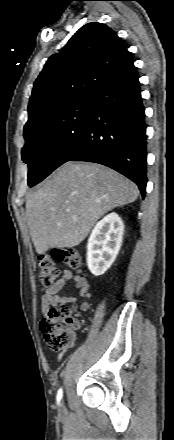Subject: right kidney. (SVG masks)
Segmentation results:
<instances>
[{"mask_svg": "<svg viewBox=\"0 0 174 440\" xmlns=\"http://www.w3.org/2000/svg\"><path fill=\"white\" fill-rule=\"evenodd\" d=\"M123 231V221L116 213L95 225L87 244V266L93 275H102L110 268L120 250Z\"/></svg>", "mask_w": 174, "mask_h": 440, "instance_id": "right-kidney-1", "label": "right kidney"}]
</instances>
